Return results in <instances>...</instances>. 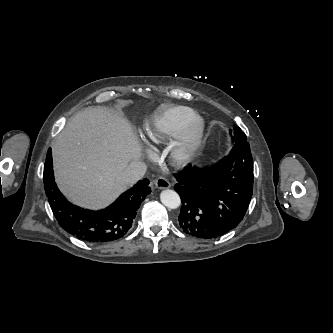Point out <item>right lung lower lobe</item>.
<instances>
[{"instance_id":"right-lung-lower-lobe-1","label":"right lung lower lobe","mask_w":333,"mask_h":333,"mask_svg":"<svg viewBox=\"0 0 333 333\" xmlns=\"http://www.w3.org/2000/svg\"><path fill=\"white\" fill-rule=\"evenodd\" d=\"M43 180L49 204L59 225L87 242L105 243L122 238L132 227L137 210L151 193L149 180H140L109 207L91 211L71 204L57 188L51 149L47 152Z\"/></svg>"}]
</instances>
